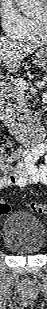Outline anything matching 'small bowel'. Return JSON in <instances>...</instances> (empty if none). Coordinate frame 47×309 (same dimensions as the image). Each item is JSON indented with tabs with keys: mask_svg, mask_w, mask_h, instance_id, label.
<instances>
[{
	"mask_svg": "<svg viewBox=\"0 0 47 309\" xmlns=\"http://www.w3.org/2000/svg\"><path fill=\"white\" fill-rule=\"evenodd\" d=\"M45 151L46 145L40 143L30 149L21 150L12 157L5 158L1 165L0 188L45 184L47 182V168L43 164L36 165V161Z\"/></svg>",
	"mask_w": 47,
	"mask_h": 309,
	"instance_id": "1",
	"label": "small bowel"
}]
</instances>
